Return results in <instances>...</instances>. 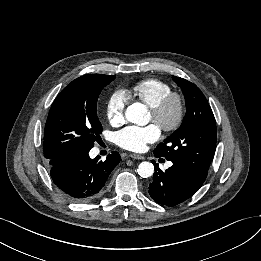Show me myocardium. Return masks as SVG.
I'll return each mask as SVG.
<instances>
[{"label":"myocardium","instance_id":"myocardium-1","mask_svg":"<svg viewBox=\"0 0 261 261\" xmlns=\"http://www.w3.org/2000/svg\"><path fill=\"white\" fill-rule=\"evenodd\" d=\"M173 115L169 117L170 111ZM153 121L167 133L177 130L185 116V101L178 92H170L155 107L150 109Z\"/></svg>","mask_w":261,"mask_h":261}]
</instances>
